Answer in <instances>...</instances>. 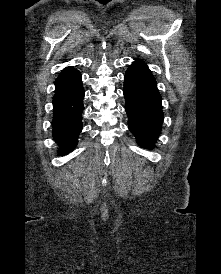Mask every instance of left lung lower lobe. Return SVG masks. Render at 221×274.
Returning a JSON list of instances; mask_svg holds the SVG:
<instances>
[{
  "label": "left lung lower lobe",
  "mask_w": 221,
  "mask_h": 274,
  "mask_svg": "<svg viewBox=\"0 0 221 274\" xmlns=\"http://www.w3.org/2000/svg\"><path fill=\"white\" fill-rule=\"evenodd\" d=\"M123 92L130 131L141 147L152 149L164 114L155 78L143 61L136 60L127 69Z\"/></svg>",
  "instance_id": "left-lung-lower-lobe-1"
}]
</instances>
